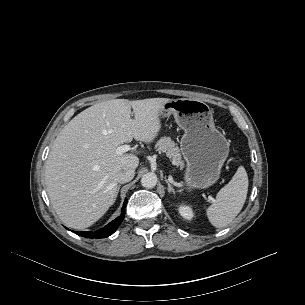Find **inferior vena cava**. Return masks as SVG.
<instances>
[{"label":"inferior vena cava","mask_w":305,"mask_h":305,"mask_svg":"<svg viewBox=\"0 0 305 305\" xmlns=\"http://www.w3.org/2000/svg\"><path fill=\"white\" fill-rule=\"evenodd\" d=\"M135 169L132 167H125L121 169L117 174V181L119 183H127L134 177Z\"/></svg>","instance_id":"1"}]
</instances>
